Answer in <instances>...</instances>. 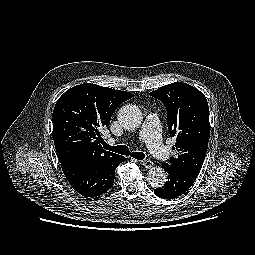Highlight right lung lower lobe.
<instances>
[{
	"mask_svg": "<svg viewBox=\"0 0 255 255\" xmlns=\"http://www.w3.org/2000/svg\"><path fill=\"white\" fill-rule=\"evenodd\" d=\"M124 161L125 157L119 155L103 163H67L61 168L75 191L84 197L94 198L112 187L115 169Z\"/></svg>",
	"mask_w": 255,
	"mask_h": 255,
	"instance_id": "1",
	"label": "right lung lower lobe"
}]
</instances>
